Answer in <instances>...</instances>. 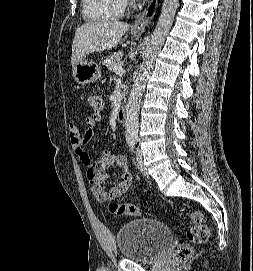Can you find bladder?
<instances>
[{"mask_svg":"<svg viewBox=\"0 0 253 271\" xmlns=\"http://www.w3.org/2000/svg\"><path fill=\"white\" fill-rule=\"evenodd\" d=\"M172 239V229L155 219L132 220L116 232L121 256L139 262L156 260Z\"/></svg>","mask_w":253,"mask_h":271,"instance_id":"31cf9c89","label":"bladder"}]
</instances>
